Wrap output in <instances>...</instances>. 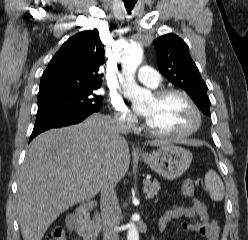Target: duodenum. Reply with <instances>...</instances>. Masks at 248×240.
<instances>
[{"instance_id":"obj_1","label":"duodenum","mask_w":248,"mask_h":240,"mask_svg":"<svg viewBox=\"0 0 248 240\" xmlns=\"http://www.w3.org/2000/svg\"><path fill=\"white\" fill-rule=\"evenodd\" d=\"M93 207V202L80 205L75 211L71 223L73 228L81 234L83 240H99L98 233L89 220V213Z\"/></svg>"}]
</instances>
